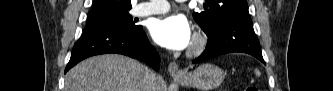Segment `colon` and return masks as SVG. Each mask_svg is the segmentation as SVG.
<instances>
[{"label": "colon", "instance_id": "colon-1", "mask_svg": "<svg viewBox=\"0 0 333 91\" xmlns=\"http://www.w3.org/2000/svg\"><path fill=\"white\" fill-rule=\"evenodd\" d=\"M245 91H258V89L255 85L250 84L245 88Z\"/></svg>", "mask_w": 333, "mask_h": 91}]
</instances>
